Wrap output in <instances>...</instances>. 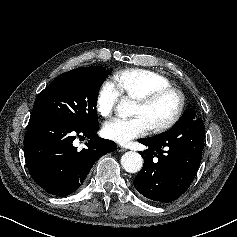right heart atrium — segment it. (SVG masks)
Here are the masks:
<instances>
[{
	"label": "right heart atrium",
	"mask_w": 237,
	"mask_h": 237,
	"mask_svg": "<svg viewBox=\"0 0 237 237\" xmlns=\"http://www.w3.org/2000/svg\"><path fill=\"white\" fill-rule=\"evenodd\" d=\"M121 95L117 84L111 79H106L100 85L96 95L95 104L98 114L103 118H109L115 111Z\"/></svg>",
	"instance_id": "d8ad5b80"
}]
</instances>
